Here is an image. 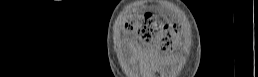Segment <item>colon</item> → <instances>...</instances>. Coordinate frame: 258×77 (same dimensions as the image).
Listing matches in <instances>:
<instances>
[{"label":"colon","instance_id":"5ec220e1","mask_svg":"<svg viewBox=\"0 0 258 77\" xmlns=\"http://www.w3.org/2000/svg\"><path fill=\"white\" fill-rule=\"evenodd\" d=\"M145 44L155 45L162 51H169L179 33L176 24L160 23L152 14L133 13L126 23Z\"/></svg>","mask_w":258,"mask_h":77}]
</instances>
